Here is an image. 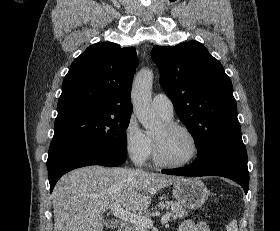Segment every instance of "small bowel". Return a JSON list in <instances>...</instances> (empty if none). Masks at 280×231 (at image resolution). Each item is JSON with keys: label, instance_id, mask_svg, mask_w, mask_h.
Instances as JSON below:
<instances>
[{"label": "small bowel", "instance_id": "1", "mask_svg": "<svg viewBox=\"0 0 280 231\" xmlns=\"http://www.w3.org/2000/svg\"><path fill=\"white\" fill-rule=\"evenodd\" d=\"M178 231H209V227L204 221L194 222L186 219L181 223Z\"/></svg>", "mask_w": 280, "mask_h": 231}]
</instances>
